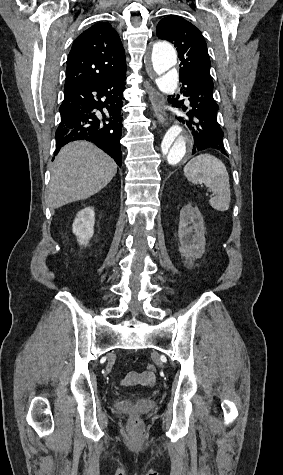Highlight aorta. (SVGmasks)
<instances>
[{"instance_id":"obj_1","label":"aorta","mask_w":283,"mask_h":475,"mask_svg":"<svg viewBox=\"0 0 283 475\" xmlns=\"http://www.w3.org/2000/svg\"><path fill=\"white\" fill-rule=\"evenodd\" d=\"M147 63L158 76L156 82L159 89L167 95L174 94L178 85V74L172 71L177 63L174 47L165 41L156 42ZM192 147L193 139L190 133L178 124L172 125L158 148L160 166L165 168L179 165L189 158Z\"/></svg>"}]
</instances>
